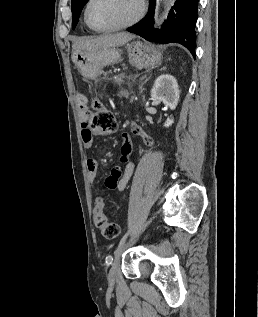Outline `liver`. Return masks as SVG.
<instances>
[{
  "mask_svg": "<svg viewBox=\"0 0 258 317\" xmlns=\"http://www.w3.org/2000/svg\"><path fill=\"white\" fill-rule=\"evenodd\" d=\"M136 38L135 34L130 32H115V34H109L104 32L100 36H82V38H76L72 44L73 50H100V48H107V46H122L125 42Z\"/></svg>",
  "mask_w": 258,
  "mask_h": 317,
  "instance_id": "obj_1",
  "label": "liver"
}]
</instances>
